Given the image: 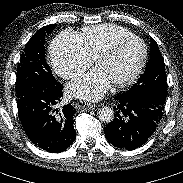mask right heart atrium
<instances>
[{"label":"right heart atrium","instance_id":"d8ad5b80","mask_svg":"<svg viewBox=\"0 0 183 183\" xmlns=\"http://www.w3.org/2000/svg\"><path fill=\"white\" fill-rule=\"evenodd\" d=\"M51 62L58 75L75 80L92 64L78 34L70 31L60 33L50 46Z\"/></svg>","mask_w":183,"mask_h":183}]
</instances>
